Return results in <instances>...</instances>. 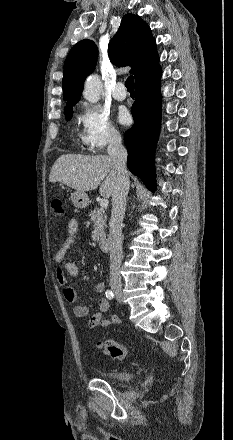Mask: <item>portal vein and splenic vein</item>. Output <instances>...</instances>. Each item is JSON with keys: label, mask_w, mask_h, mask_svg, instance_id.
<instances>
[{"label": "portal vein and splenic vein", "mask_w": 233, "mask_h": 440, "mask_svg": "<svg viewBox=\"0 0 233 440\" xmlns=\"http://www.w3.org/2000/svg\"><path fill=\"white\" fill-rule=\"evenodd\" d=\"M108 203H109L108 199L107 198H103L100 201V207L106 208L108 206Z\"/></svg>", "instance_id": "18ae733b"}]
</instances>
